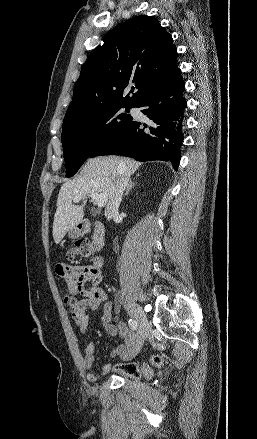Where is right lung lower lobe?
Masks as SVG:
<instances>
[{
    "label": "right lung lower lobe",
    "instance_id": "1",
    "mask_svg": "<svg viewBox=\"0 0 257 439\" xmlns=\"http://www.w3.org/2000/svg\"><path fill=\"white\" fill-rule=\"evenodd\" d=\"M184 82L180 69L157 83L136 106L149 119L131 120L90 155H121L137 161L163 160L177 170L183 142Z\"/></svg>",
    "mask_w": 257,
    "mask_h": 439
}]
</instances>
